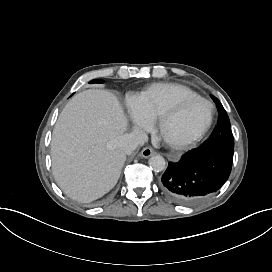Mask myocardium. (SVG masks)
I'll use <instances>...</instances> for the list:
<instances>
[{
	"mask_svg": "<svg viewBox=\"0 0 272 272\" xmlns=\"http://www.w3.org/2000/svg\"><path fill=\"white\" fill-rule=\"evenodd\" d=\"M199 101L206 105L207 107V118L205 123L197 130H195L192 133L189 134H180V133H174L170 135L168 133L169 129V115H173V117L177 116L178 114L182 113L185 108L192 102ZM163 114L162 120H161V130L163 134L166 137H171L174 142L178 145H187L191 142L197 140L199 137H201L211 126L213 117H214V105L211 101L208 99L200 96V95H194V96H188L182 98L174 107L171 112V114Z\"/></svg>",
	"mask_w": 272,
	"mask_h": 272,
	"instance_id": "f54148a6",
	"label": "myocardium"
}]
</instances>
